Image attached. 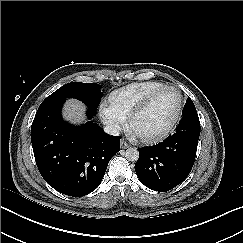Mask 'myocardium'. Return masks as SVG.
<instances>
[{"label": "myocardium", "mask_w": 243, "mask_h": 243, "mask_svg": "<svg viewBox=\"0 0 243 243\" xmlns=\"http://www.w3.org/2000/svg\"><path fill=\"white\" fill-rule=\"evenodd\" d=\"M169 90L176 91L178 93V95H179V102H178L177 112H176L173 120L171 121V123L167 126V128L163 132H161L158 135L146 136L144 134L139 133L137 131V129L135 128V120H136V118L147 107V105L151 101H153L160 94H162V93H164L166 91H169ZM183 105H184V98H183V94L180 91V89L175 87V86H165V87L155 91L154 93L150 94L147 98H145L143 101H141L132 110V112L130 113L129 118H128V128H129L130 132L135 134L142 142H145V143H156V142H159V141L163 140L164 138H166L172 132V130L176 127L178 122L180 121L181 116H182V112H183Z\"/></svg>", "instance_id": "f54148a6"}]
</instances>
